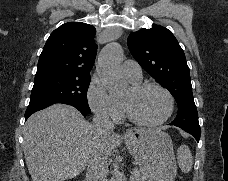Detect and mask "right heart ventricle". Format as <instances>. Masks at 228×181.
Listing matches in <instances>:
<instances>
[{"label": "right heart ventricle", "instance_id": "1", "mask_svg": "<svg viewBox=\"0 0 228 181\" xmlns=\"http://www.w3.org/2000/svg\"><path fill=\"white\" fill-rule=\"evenodd\" d=\"M139 79H140V78H139ZM139 79H137V80H132V79H131V80H132V81H138Z\"/></svg>", "mask_w": 228, "mask_h": 181}]
</instances>
